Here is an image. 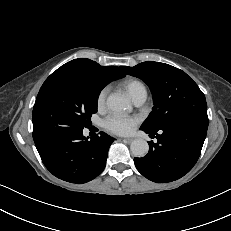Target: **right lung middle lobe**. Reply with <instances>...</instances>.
<instances>
[{
  "instance_id": "dd1d6c3e",
  "label": "right lung middle lobe",
  "mask_w": 231,
  "mask_h": 231,
  "mask_svg": "<svg viewBox=\"0 0 231 231\" xmlns=\"http://www.w3.org/2000/svg\"><path fill=\"white\" fill-rule=\"evenodd\" d=\"M107 84L90 73L46 80L33 108V139H54L88 127L91 115L97 112L98 96Z\"/></svg>"
}]
</instances>
